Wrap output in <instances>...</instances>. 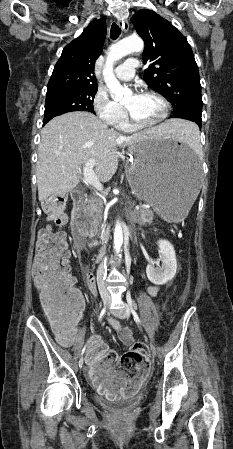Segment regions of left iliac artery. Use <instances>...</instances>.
<instances>
[{
  "label": "left iliac artery",
  "mask_w": 233,
  "mask_h": 449,
  "mask_svg": "<svg viewBox=\"0 0 233 449\" xmlns=\"http://www.w3.org/2000/svg\"><path fill=\"white\" fill-rule=\"evenodd\" d=\"M127 302H128L129 310H130V312L132 313L135 322H136L137 324L142 325V322H141V320H140V318H139L137 312L135 311V305H134V302H133L132 299H131L130 292H127Z\"/></svg>",
  "instance_id": "obj_1"
}]
</instances>
